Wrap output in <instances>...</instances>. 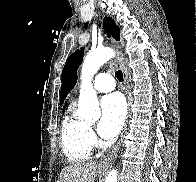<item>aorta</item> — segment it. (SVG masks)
Wrapping results in <instances>:
<instances>
[{"label":"aorta","mask_w":196,"mask_h":182,"mask_svg":"<svg viewBox=\"0 0 196 182\" xmlns=\"http://www.w3.org/2000/svg\"><path fill=\"white\" fill-rule=\"evenodd\" d=\"M113 56L114 52L112 49L103 47L89 52L84 59L77 114L86 121L95 122L100 118L98 98L92 85V79L98 69ZM105 182H117V170H111Z\"/></svg>","instance_id":"aorta-1"}]
</instances>
